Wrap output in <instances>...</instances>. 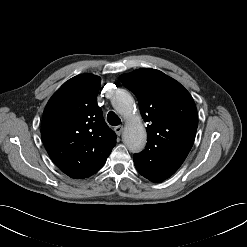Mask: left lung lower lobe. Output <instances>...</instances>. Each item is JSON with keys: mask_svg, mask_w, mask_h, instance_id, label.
<instances>
[{"mask_svg": "<svg viewBox=\"0 0 247 247\" xmlns=\"http://www.w3.org/2000/svg\"><path fill=\"white\" fill-rule=\"evenodd\" d=\"M187 155L183 152L174 154H135L134 164L137 171L152 182H162L174 174Z\"/></svg>", "mask_w": 247, "mask_h": 247, "instance_id": "left-lung-lower-lobe-1", "label": "left lung lower lobe"}]
</instances>
